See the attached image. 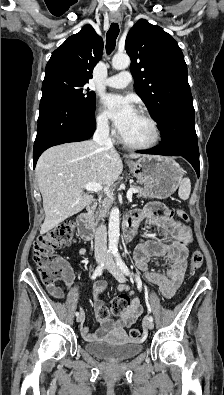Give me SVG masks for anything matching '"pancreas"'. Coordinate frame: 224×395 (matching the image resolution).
Wrapping results in <instances>:
<instances>
[{"label":"pancreas","instance_id":"obj_1","mask_svg":"<svg viewBox=\"0 0 224 395\" xmlns=\"http://www.w3.org/2000/svg\"><path fill=\"white\" fill-rule=\"evenodd\" d=\"M131 188H135L138 190V194H137L138 198L150 197V194L144 188H141L137 185H132ZM111 205H112V201L110 199H104L101 205H99L98 209L96 210L94 218L103 219L106 216L107 212L109 211Z\"/></svg>","mask_w":224,"mask_h":395}]
</instances>
